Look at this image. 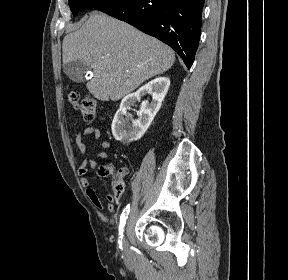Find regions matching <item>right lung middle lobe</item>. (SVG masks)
<instances>
[{"label": "right lung middle lobe", "mask_w": 288, "mask_h": 280, "mask_svg": "<svg viewBox=\"0 0 288 280\" xmlns=\"http://www.w3.org/2000/svg\"><path fill=\"white\" fill-rule=\"evenodd\" d=\"M115 0H69V6L74 16L85 9L95 8Z\"/></svg>", "instance_id": "1"}]
</instances>
